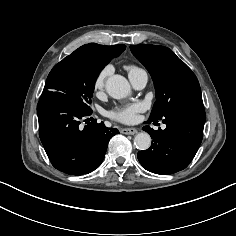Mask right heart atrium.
Returning a JSON list of instances; mask_svg holds the SVG:
<instances>
[{
    "mask_svg": "<svg viewBox=\"0 0 236 236\" xmlns=\"http://www.w3.org/2000/svg\"><path fill=\"white\" fill-rule=\"evenodd\" d=\"M112 70V66L107 64L97 72L93 80V89L95 91H101L104 88L106 80L111 75Z\"/></svg>",
    "mask_w": 236,
    "mask_h": 236,
    "instance_id": "1",
    "label": "right heart atrium"
}]
</instances>
